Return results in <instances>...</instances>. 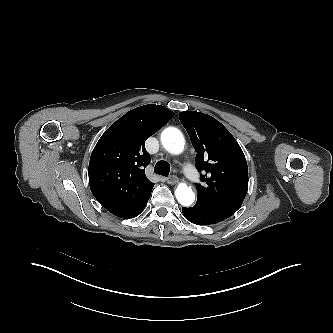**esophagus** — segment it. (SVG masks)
<instances>
[{"label":"esophagus","mask_w":333,"mask_h":333,"mask_svg":"<svg viewBox=\"0 0 333 333\" xmlns=\"http://www.w3.org/2000/svg\"><path fill=\"white\" fill-rule=\"evenodd\" d=\"M166 181L168 184L174 185V184L178 183V178H177V176L172 175V176L166 178Z\"/></svg>","instance_id":"1"}]
</instances>
